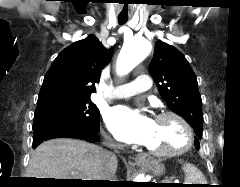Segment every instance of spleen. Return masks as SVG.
<instances>
[{
  "label": "spleen",
  "mask_w": 240,
  "mask_h": 187,
  "mask_svg": "<svg viewBox=\"0 0 240 187\" xmlns=\"http://www.w3.org/2000/svg\"><path fill=\"white\" fill-rule=\"evenodd\" d=\"M182 169L185 173L186 184H206L204 175L193 164L185 163Z\"/></svg>",
  "instance_id": "obj_1"
}]
</instances>
